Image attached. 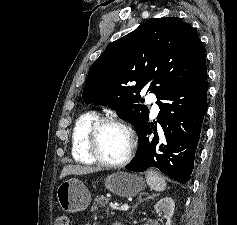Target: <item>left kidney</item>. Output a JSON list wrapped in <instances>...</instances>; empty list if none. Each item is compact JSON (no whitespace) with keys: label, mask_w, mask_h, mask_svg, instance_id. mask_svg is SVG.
Returning <instances> with one entry per match:
<instances>
[{"label":"left kidney","mask_w":237,"mask_h":225,"mask_svg":"<svg viewBox=\"0 0 237 225\" xmlns=\"http://www.w3.org/2000/svg\"><path fill=\"white\" fill-rule=\"evenodd\" d=\"M175 204L172 198L165 197L157 202L154 209L157 213H163V217L167 220L166 225H171V218L174 213Z\"/></svg>","instance_id":"obj_1"}]
</instances>
